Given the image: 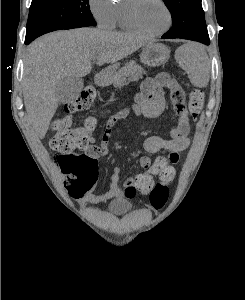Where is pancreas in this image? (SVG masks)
I'll return each mask as SVG.
<instances>
[{"instance_id":"pancreas-1","label":"pancreas","mask_w":245,"mask_h":300,"mask_svg":"<svg viewBox=\"0 0 245 300\" xmlns=\"http://www.w3.org/2000/svg\"><path fill=\"white\" fill-rule=\"evenodd\" d=\"M145 73L140 65H137L134 61H130L116 73L113 84L116 88H120L127 81L141 79Z\"/></svg>"}]
</instances>
